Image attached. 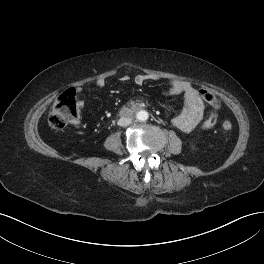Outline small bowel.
<instances>
[{"mask_svg": "<svg viewBox=\"0 0 264 264\" xmlns=\"http://www.w3.org/2000/svg\"><path fill=\"white\" fill-rule=\"evenodd\" d=\"M155 79L156 77L149 74H138L135 76L134 82L137 85H143L147 81ZM120 80L122 82H127L129 77L123 76ZM96 86L98 88H104L106 86V81L104 79H99L96 82ZM78 90L80 91L81 88H78ZM166 93L170 95H184V107L180 114L172 118V124L183 132H191L202 120L205 109L199 91L188 81L171 80Z\"/></svg>", "mask_w": 264, "mask_h": 264, "instance_id": "obj_1", "label": "small bowel"}]
</instances>
